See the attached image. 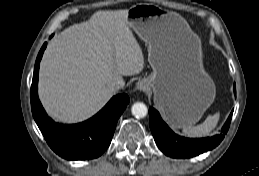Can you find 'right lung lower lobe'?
Listing matches in <instances>:
<instances>
[{"instance_id": "98d812e1", "label": "right lung lower lobe", "mask_w": 259, "mask_h": 176, "mask_svg": "<svg viewBox=\"0 0 259 176\" xmlns=\"http://www.w3.org/2000/svg\"><path fill=\"white\" fill-rule=\"evenodd\" d=\"M44 43L36 59L31 85V109L35 122L50 148L68 160L93 159L100 156L110 145L117 121L127 104L126 94L114 96L107 105L89 120L72 125L54 122L46 114L38 98V74Z\"/></svg>"}]
</instances>
